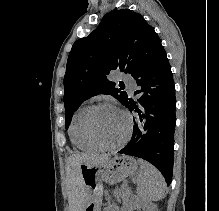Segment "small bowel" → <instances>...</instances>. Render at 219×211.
<instances>
[{
  "label": "small bowel",
  "instance_id": "1",
  "mask_svg": "<svg viewBox=\"0 0 219 211\" xmlns=\"http://www.w3.org/2000/svg\"><path fill=\"white\" fill-rule=\"evenodd\" d=\"M107 211H116L114 207L107 209Z\"/></svg>",
  "mask_w": 219,
  "mask_h": 211
}]
</instances>
